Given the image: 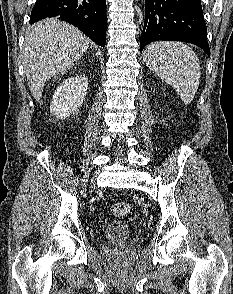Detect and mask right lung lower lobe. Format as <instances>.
<instances>
[{"label":"right lung lower lobe","mask_w":233,"mask_h":294,"mask_svg":"<svg viewBox=\"0 0 233 294\" xmlns=\"http://www.w3.org/2000/svg\"><path fill=\"white\" fill-rule=\"evenodd\" d=\"M47 17L71 23L96 44L105 46L106 0H37L31 12L30 24Z\"/></svg>","instance_id":"right-lung-lower-lobe-1"}]
</instances>
